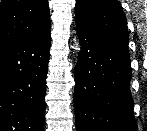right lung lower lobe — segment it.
Listing matches in <instances>:
<instances>
[{"mask_svg": "<svg viewBox=\"0 0 147 131\" xmlns=\"http://www.w3.org/2000/svg\"><path fill=\"white\" fill-rule=\"evenodd\" d=\"M50 29L0 47V131H44Z\"/></svg>", "mask_w": 147, "mask_h": 131, "instance_id": "1", "label": "right lung lower lobe"}]
</instances>
